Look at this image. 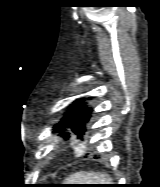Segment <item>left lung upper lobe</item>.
<instances>
[{
  "instance_id": "5c2ea615",
  "label": "left lung upper lobe",
  "mask_w": 160,
  "mask_h": 187,
  "mask_svg": "<svg viewBox=\"0 0 160 187\" xmlns=\"http://www.w3.org/2000/svg\"><path fill=\"white\" fill-rule=\"evenodd\" d=\"M84 98L76 99L69 108V111L61 119V123L54 126L57 131H64L65 127H70L79 138H82L84 127L83 125L89 121L90 113L92 109L82 106Z\"/></svg>"
}]
</instances>
